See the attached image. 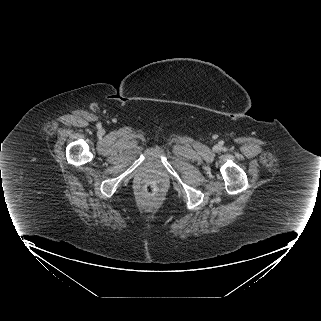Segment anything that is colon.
Here are the masks:
<instances>
[{"instance_id": "1", "label": "colon", "mask_w": 321, "mask_h": 321, "mask_svg": "<svg viewBox=\"0 0 321 321\" xmlns=\"http://www.w3.org/2000/svg\"><path fill=\"white\" fill-rule=\"evenodd\" d=\"M157 192H158V186L156 183L149 182L145 185V193L148 196L153 197L157 194Z\"/></svg>"}]
</instances>
